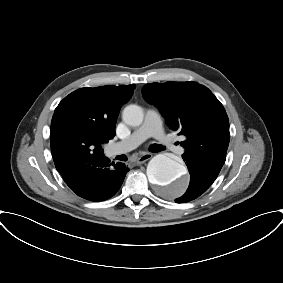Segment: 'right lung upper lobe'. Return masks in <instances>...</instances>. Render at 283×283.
<instances>
[{
  "label": "right lung upper lobe",
  "instance_id": "cb5924a9",
  "mask_svg": "<svg viewBox=\"0 0 283 283\" xmlns=\"http://www.w3.org/2000/svg\"><path fill=\"white\" fill-rule=\"evenodd\" d=\"M135 85L81 88L66 96L51 122V151L56 169L63 174L74 165V135L92 136L107 143L115 136L120 109L132 96Z\"/></svg>",
  "mask_w": 283,
  "mask_h": 283
}]
</instances>
